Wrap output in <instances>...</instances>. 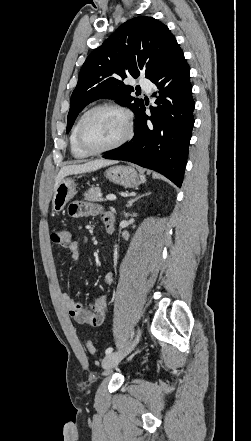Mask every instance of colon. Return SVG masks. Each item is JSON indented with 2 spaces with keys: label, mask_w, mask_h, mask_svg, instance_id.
<instances>
[{
  "label": "colon",
  "mask_w": 251,
  "mask_h": 441,
  "mask_svg": "<svg viewBox=\"0 0 251 441\" xmlns=\"http://www.w3.org/2000/svg\"><path fill=\"white\" fill-rule=\"evenodd\" d=\"M51 240L59 246L68 247L72 242L71 233L65 228H56L51 233ZM86 348L90 353L95 352L94 344L90 340L86 341Z\"/></svg>",
  "instance_id": "1"
}]
</instances>
